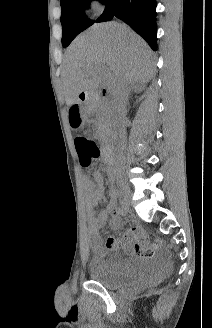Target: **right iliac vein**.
I'll use <instances>...</instances> for the list:
<instances>
[{
  "label": "right iliac vein",
  "mask_w": 212,
  "mask_h": 328,
  "mask_svg": "<svg viewBox=\"0 0 212 328\" xmlns=\"http://www.w3.org/2000/svg\"><path fill=\"white\" fill-rule=\"evenodd\" d=\"M120 188H121V194L124 198L125 204H126V206H129L131 203L132 192H131L129 186L125 183H121Z\"/></svg>",
  "instance_id": "right-iliac-vein-1"
}]
</instances>
